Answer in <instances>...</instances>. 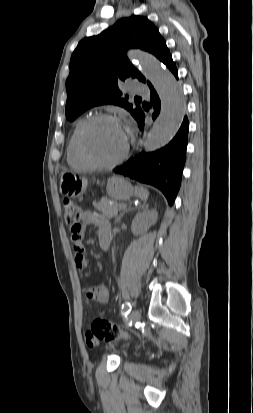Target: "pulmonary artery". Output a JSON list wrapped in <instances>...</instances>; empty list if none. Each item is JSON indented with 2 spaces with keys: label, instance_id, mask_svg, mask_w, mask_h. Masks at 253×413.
Returning a JSON list of instances; mask_svg holds the SVG:
<instances>
[{
  "label": "pulmonary artery",
  "instance_id": "e3ab8cb5",
  "mask_svg": "<svg viewBox=\"0 0 253 413\" xmlns=\"http://www.w3.org/2000/svg\"><path fill=\"white\" fill-rule=\"evenodd\" d=\"M134 93L140 94V95H145L147 96L149 94V89L147 86L140 84V83H135L133 84L132 87Z\"/></svg>",
  "mask_w": 253,
  "mask_h": 413
}]
</instances>
